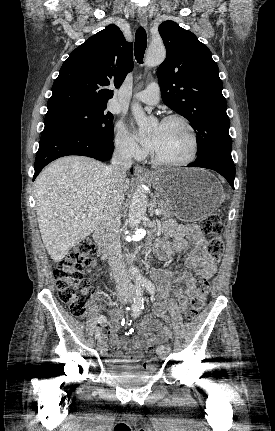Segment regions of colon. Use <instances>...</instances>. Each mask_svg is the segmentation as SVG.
<instances>
[{
  "mask_svg": "<svg viewBox=\"0 0 275 431\" xmlns=\"http://www.w3.org/2000/svg\"><path fill=\"white\" fill-rule=\"evenodd\" d=\"M200 229L210 235L207 252L218 260L224 252V242L221 237L222 224L216 214H208L200 221ZM95 246L90 239L80 240L59 262L53 270V278L58 297L69 306L70 312L77 317H83L87 313L88 303L95 293V288L90 281L83 276V270L94 264ZM209 292V281L202 276L196 284L195 293L192 295L186 318L190 321L197 318L203 309ZM152 348L147 347L145 353L148 358L145 364L154 366L157 360L153 357Z\"/></svg>",
  "mask_w": 275,
  "mask_h": 431,
  "instance_id": "colon-1",
  "label": "colon"
}]
</instances>
